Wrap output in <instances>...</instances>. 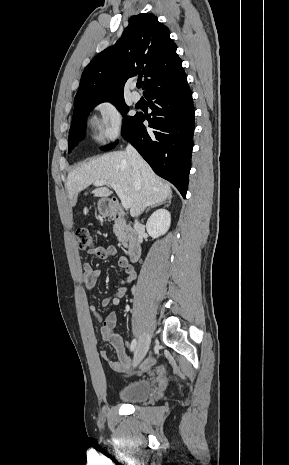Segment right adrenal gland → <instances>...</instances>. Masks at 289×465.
<instances>
[{"mask_svg": "<svg viewBox=\"0 0 289 465\" xmlns=\"http://www.w3.org/2000/svg\"><path fill=\"white\" fill-rule=\"evenodd\" d=\"M168 204H170V199L168 200ZM159 205H160V204H155V205L150 206V207L146 210V213H147L150 209L155 208V207H157V206H159Z\"/></svg>", "mask_w": 289, "mask_h": 465, "instance_id": "2a0ac1e0", "label": "right adrenal gland"}]
</instances>
